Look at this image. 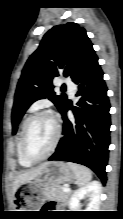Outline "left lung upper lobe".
Returning <instances> with one entry per match:
<instances>
[{
	"label": "left lung upper lobe",
	"mask_w": 123,
	"mask_h": 219,
	"mask_svg": "<svg viewBox=\"0 0 123 219\" xmlns=\"http://www.w3.org/2000/svg\"><path fill=\"white\" fill-rule=\"evenodd\" d=\"M92 46L85 29L72 22L54 26L44 35L27 60L17 85L12 109L13 134L25 111L36 100L48 98L62 111L67 97L55 94L52 80L59 75L73 80L96 56Z\"/></svg>",
	"instance_id": "5c2ea615"
}]
</instances>
